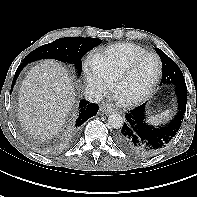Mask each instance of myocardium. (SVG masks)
Listing matches in <instances>:
<instances>
[{
	"mask_svg": "<svg viewBox=\"0 0 197 197\" xmlns=\"http://www.w3.org/2000/svg\"><path fill=\"white\" fill-rule=\"evenodd\" d=\"M145 57H154L157 61V65H158V69H157V73L156 76L154 78V80L152 81L150 87L141 95L134 97V98H129V99H121V102L125 105H136L139 103L144 102L145 100H147L155 91L161 75H162V61L160 59V57L153 52H145L143 54L137 55L135 56L130 62H128L122 69L121 71L117 74V76L114 79V84H113V88L114 91H117L118 86L120 85V83L132 72V70L134 69V67L136 66V64L143 58Z\"/></svg>",
	"mask_w": 197,
	"mask_h": 197,
	"instance_id": "obj_1",
	"label": "myocardium"
}]
</instances>
